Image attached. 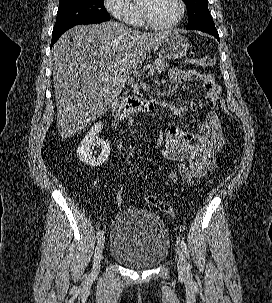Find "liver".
Returning <instances> with one entry per match:
<instances>
[{"mask_svg":"<svg viewBox=\"0 0 272 303\" xmlns=\"http://www.w3.org/2000/svg\"><path fill=\"white\" fill-rule=\"evenodd\" d=\"M166 34L133 30L116 21L66 31L51 51L60 135L70 138L101 116L142 65L147 51Z\"/></svg>","mask_w":272,"mask_h":303,"instance_id":"6515ba94","label":"liver"}]
</instances>
